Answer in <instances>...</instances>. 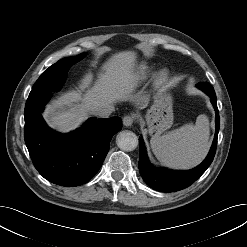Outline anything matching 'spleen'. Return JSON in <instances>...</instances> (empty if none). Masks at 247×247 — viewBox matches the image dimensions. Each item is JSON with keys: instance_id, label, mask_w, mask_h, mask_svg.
<instances>
[{"instance_id": "obj_1", "label": "spleen", "mask_w": 247, "mask_h": 247, "mask_svg": "<svg viewBox=\"0 0 247 247\" xmlns=\"http://www.w3.org/2000/svg\"><path fill=\"white\" fill-rule=\"evenodd\" d=\"M209 135V120L201 114L195 124H185L162 136L153 135L150 144L162 164L171 168H189L205 158L210 147Z\"/></svg>"}]
</instances>
